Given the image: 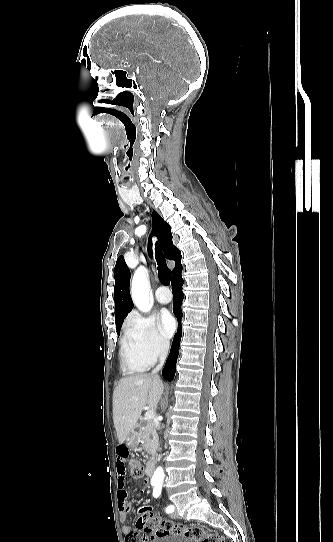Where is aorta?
I'll return each instance as SVG.
<instances>
[{"label":"aorta","mask_w":333,"mask_h":542,"mask_svg":"<svg viewBox=\"0 0 333 542\" xmlns=\"http://www.w3.org/2000/svg\"><path fill=\"white\" fill-rule=\"evenodd\" d=\"M131 298L138 310H141V312H150L152 302L145 268H139L133 276ZM164 476L163 468H157V470H155L151 480L155 488H162Z\"/></svg>","instance_id":"762f6f07"}]
</instances>
